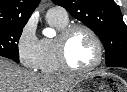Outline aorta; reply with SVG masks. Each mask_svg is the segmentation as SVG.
<instances>
[{"label":"aorta","instance_id":"1","mask_svg":"<svg viewBox=\"0 0 127 92\" xmlns=\"http://www.w3.org/2000/svg\"><path fill=\"white\" fill-rule=\"evenodd\" d=\"M48 30H45V34H47Z\"/></svg>","mask_w":127,"mask_h":92}]
</instances>
